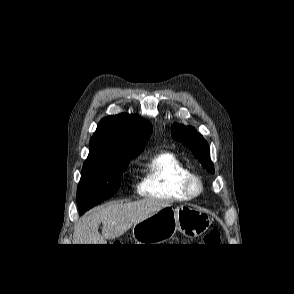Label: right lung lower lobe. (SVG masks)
I'll return each instance as SVG.
<instances>
[{"mask_svg": "<svg viewBox=\"0 0 294 294\" xmlns=\"http://www.w3.org/2000/svg\"><path fill=\"white\" fill-rule=\"evenodd\" d=\"M85 211H80V214L82 215Z\"/></svg>", "mask_w": 294, "mask_h": 294, "instance_id": "98d812e1", "label": "right lung lower lobe"}]
</instances>
